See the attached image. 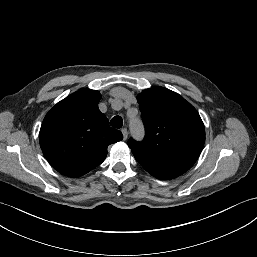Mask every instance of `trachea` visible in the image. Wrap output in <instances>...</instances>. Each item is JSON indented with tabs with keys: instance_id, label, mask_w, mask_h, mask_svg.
<instances>
[{
	"instance_id": "obj_1",
	"label": "trachea",
	"mask_w": 257,
	"mask_h": 257,
	"mask_svg": "<svg viewBox=\"0 0 257 257\" xmlns=\"http://www.w3.org/2000/svg\"><path fill=\"white\" fill-rule=\"evenodd\" d=\"M110 125L114 128H121L123 125V120L120 116H115L111 119Z\"/></svg>"
}]
</instances>
